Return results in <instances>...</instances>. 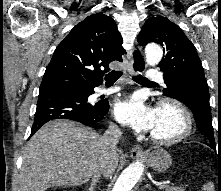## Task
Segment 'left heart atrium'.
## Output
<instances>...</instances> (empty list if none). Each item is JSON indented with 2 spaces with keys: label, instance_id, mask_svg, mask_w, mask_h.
Instances as JSON below:
<instances>
[{
  "label": "left heart atrium",
  "instance_id": "1",
  "mask_svg": "<svg viewBox=\"0 0 221 191\" xmlns=\"http://www.w3.org/2000/svg\"><path fill=\"white\" fill-rule=\"evenodd\" d=\"M113 112L121 123L136 132L153 131L158 118V111L148 106L138 94L118 101L114 105Z\"/></svg>",
  "mask_w": 221,
  "mask_h": 191
}]
</instances>
